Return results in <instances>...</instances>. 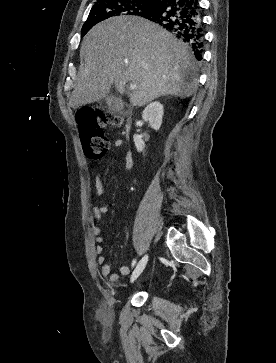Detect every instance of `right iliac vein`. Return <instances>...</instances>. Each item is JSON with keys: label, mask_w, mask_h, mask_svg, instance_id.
<instances>
[{"label": "right iliac vein", "mask_w": 276, "mask_h": 363, "mask_svg": "<svg viewBox=\"0 0 276 363\" xmlns=\"http://www.w3.org/2000/svg\"><path fill=\"white\" fill-rule=\"evenodd\" d=\"M147 261H148V254H145L144 256H143V258L139 261V263L137 264V266H136V268L134 269V271H133V273H132V275H131V282H134L137 278H138V276L141 274H139L138 275V270H139V268L141 267V265H143L144 266V268H145V266H146V264H147Z\"/></svg>", "instance_id": "right-iliac-vein-1"}]
</instances>
